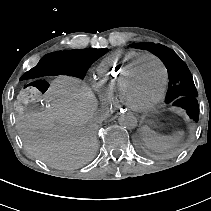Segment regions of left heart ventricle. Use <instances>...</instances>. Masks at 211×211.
<instances>
[{"label": "left heart ventricle", "mask_w": 211, "mask_h": 211, "mask_svg": "<svg viewBox=\"0 0 211 211\" xmlns=\"http://www.w3.org/2000/svg\"><path fill=\"white\" fill-rule=\"evenodd\" d=\"M163 75L159 64L151 59L145 60L138 67L132 79L129 96L139 105H148L161 91Z\"/></svg>", "instance_id": "left-heart-ventricle-1"}]
</instances>
